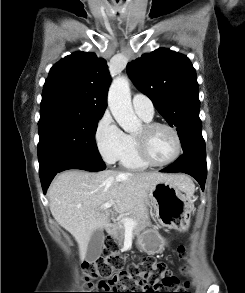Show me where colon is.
Masks as SVG:
<instances>
[{
    "instance_id": "5ec220e1",
    "label": "colon",
    "mask_w": 245,
    "mask_h": 293,
    "mask_svg": "<svg viewBox=\"0 0 245 293\" xmlns=\"http://www.w3.org/2000/svg\"><path fill=\"white\" fill-rule=\"evenodd\" d=\"M187 224L188 219L185 217L177 223L176 228L185 229ZM103 245L102 256L86 263L82 275L88 290H91L89 285L93 280L103 279L99 286L103 292L85 293H192L179 285L178 279L170 273L165 263L146 257L140 262L131 263L124 268V260L118 252L115 240L112 237H106ZM178 256L180 259L186 260L188 257L186 246L178 248ZM181 271L185 274L188 269L183 267ZM159 288L171 292H157Z\"/></svg>"
}]
</instances>
